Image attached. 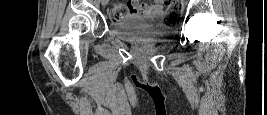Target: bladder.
Returning a JSON list of instances; mask_svg holds the SVG:
<instances>
[{
    "mask_svg": "<svg viewBox=\"0 0 267 115\" xmlns=\"http://www.w3.org/2000/svg\"><path fill=\"white\" fill-rule=\"evenodd\" d=\"M160 14H126L110 23L111 33L124 41H155L165 38L168 30L157 25Z\"/></svg>",
    "mask_w": 267,
    "mask_h": 115,
    "instance_id": "obj_1",
    "label": "bladder"
}]
</instances>
